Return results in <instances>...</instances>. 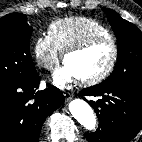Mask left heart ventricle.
Here are the masks:
<instances>
[{
    "mask_svg": "<svg viewBox=\"0 0 142 142\" xmlns=\"http://www.w3.org/2000/svg\"><path fill=\"white\" fill-rule=\"evenodd\" d=\"M112 45L108 41H99L87 49L70 54L65 59L79 78L100 73L108 65L112 56Z\"/></svg>",
    "mask_w": 142,
    "mask_h": 142,
    "instance_id": "1",
    "label": "left heart ventricle"
}]
</instances>
